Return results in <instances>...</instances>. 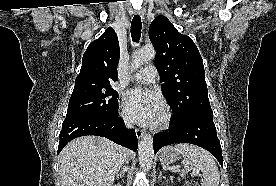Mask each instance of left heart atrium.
Segmentation results:
<instances>
[{"label":"left heart atrium","instance_id":"1","mask_svg":"<svg viewBox=\"0 0 276 186\" xmlns=\"http://www.w3.org/2000/svg\"><path fill=\"white\" fill-rule=\"evenodd\" d=\"M125 111L134 121L148 125L159 119L162 104L159 96L154 92L136 88L126 93Z\"/></svg>","mask_w":276,"mask_h":186}]
</instances>
